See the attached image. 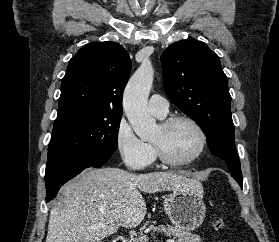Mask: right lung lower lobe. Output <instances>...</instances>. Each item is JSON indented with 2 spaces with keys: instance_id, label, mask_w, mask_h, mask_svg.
<instances>
[{
  "instance_id": "right-lung-lower-lobe-1",
  "label": "right lung lower lobe",
  "mask_w": 279,
  "mask_h": 242,
  "mask_svg": "<svg viewBox=\"0 0 279 242\" xmlns=\"http://www.w3.org/2000/svg\"><path fill=\"white\" fill-rule=\"evenodd\" d=\"M112 154L89 153L65 161L49 172H45L46 201L52 200L59 188L88 167H101Z\"/></svg>"
}]
</instances>
